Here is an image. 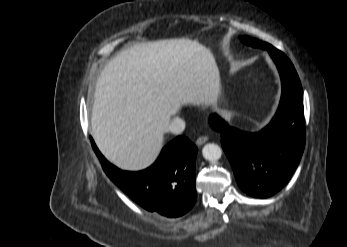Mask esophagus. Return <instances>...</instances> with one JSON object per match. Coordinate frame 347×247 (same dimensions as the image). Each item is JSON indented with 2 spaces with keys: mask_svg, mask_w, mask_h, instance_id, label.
<instances>
[{
  "mask_svg": "<svg viewBox=\"0 0 347 247\" xmlns=\"http://www.w3.org/2000/svg\"><path fill=\"white\" fill-rule=\"evenodd\" d=\"M207 140H208V137H207V136H201V137L197 138L196 144H197L198 146H201V145H203Z\"/></svg>",
  "mask_w": 347,
  "mask_h": 247,
  "instance_id": "34e87169",
  "label": "esophagus"
}]
</instances>
